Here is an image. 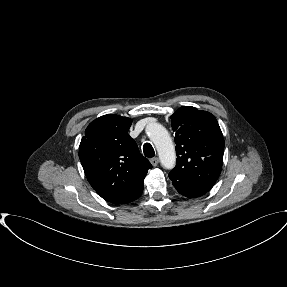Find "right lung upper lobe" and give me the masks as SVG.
<instances>
[{
    "mask_svg": "<svg viewBox=\"0 0 287 287\" xmlns=\"http://www.w3.org/2000/svg\"><path fill=\"white\" fill-rule=\"evenodd\" d=\"M132 120L108 114L92 121L79 147L87 180L106 201L126 204L140 197L150 162L128 134Z\"/></svg>",
    "mask_w": 287,
    "mask_h": 287,
    "instance_id": "1",
    "label": "right lung upper lobe"
}]
</instances>
